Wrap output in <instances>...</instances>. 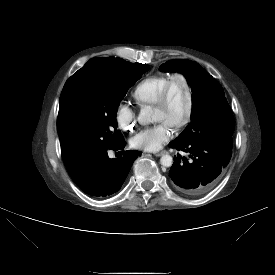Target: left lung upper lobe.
I'll return each instance as SVG.
<instances>
[{"label": "left lung upper lobe", "mask_w": 275, "mask_h": 275, "mask_svg": "<svg viewBox=\"0 0 275 275\" xmlns=\"http://www.w3.org/2000/svg\"><path fill=\"white\" fill-rule=\"evenodd\" d=\"M160 69L182 73L192 91L191 122L172 142L210 140L232 145L234 118L219 82L198 63L187 59L169 60Z\"/></svg>", "instance_id": "1"}]
</instances>
